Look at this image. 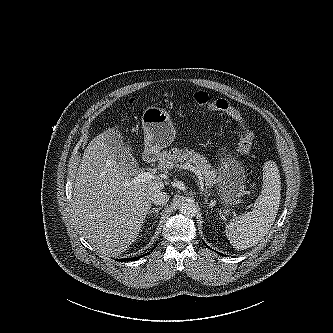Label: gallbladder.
Segmentation results:
<instances>
[{
	"instance_id": "gallbladder-1",
	"label": "gallbladder",
	"mask_w": 333,
	"mask_h": 333,
	"mask_svg": "<svg viewBox=\"0 0 333 333\" xmlns=\"http://www.w3.org/2000/svg\"><path fill=\"white\" fill-rule=\"evenodd\" d=\"M108 145L110 147L109 153L114 157L117 164L130 172H135L138 169L137 161L130 153L127 152L125 145L117 135L112 134L110 140L108 141Z\"/></svg>"
}]
</instances>
